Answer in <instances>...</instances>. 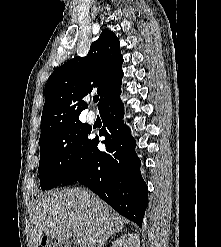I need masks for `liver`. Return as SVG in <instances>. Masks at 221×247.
<instances>
[{"instance_id": "6515ba94", "label": "liver", "mask_w": 221, "mask_h": 247, "mask_svg": "<svg viewBox=\"0 0 221 247\" xmlns=\"http://www.w3.org/2000/svg\"><path fill=\"white\" fill-rule=\"evenodd\" d=\"M30 224L33 247L43 236L61 241L77 237L79 247H103L111 235L122 231L124 219L94 193L76 188L41 196Z\"/></svg>"}]
</instances>
